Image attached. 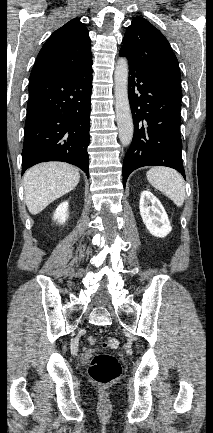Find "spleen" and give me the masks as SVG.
<instances>
[{"label": "spleen", "mask_w": 213, "mask_h": 433, "mask_svg": "<svg viewBox=\"0 0 213 433\" xmlns=\"http://www.w3.org/2000/svg\"><path fill=\"white\" fill-rule=\"evenodd\" d=\"M146 177L149 183L168 196L178 207H181L185 199V185L182 176L167 167H153Z\"/></svg>", "instance_id": "3e777b00"}]
</instances>
